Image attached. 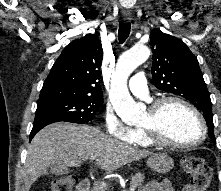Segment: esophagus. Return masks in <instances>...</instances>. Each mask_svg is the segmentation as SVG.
Here are the masks:
<instances>
[{
  "instance_id": "esophagus-1",
  "label": "esophagus",
  "mask_w": 221,
  "mask_h": 191,
  "mask_svg": "<svg viewBox=\"0 0 221 191\" xmlns=\"http://www.w3.org/2000/svg\"><path fill=\"white\" fill-rule=\"evenodd\" d=\"M124 20H125V21H130V20H131V17L128 16V15H125V16H124Z\"/></svg>"
}]
</instances>
